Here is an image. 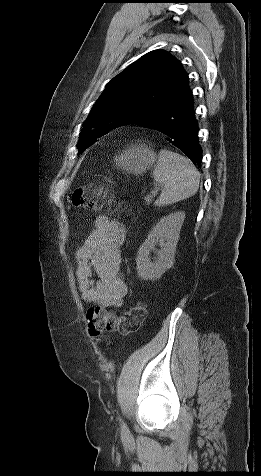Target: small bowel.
<instances>
[{
  "mask_svg": "<svg viewBox=\"0 0 261 476\" xmlns=\"http://www.w3.org/2000/svg\"><path fill=\"white\" fill-rule=\"evenodd\" d=\"M125 228L98 216L76 252V276L82 299L102 308L122 306L127 285L121 271L120 248Z\"/></svg>",
  "mask_w": 261,
  "mask_h": 476,
  "instance_id": "1",
  "label": "small bowel"
}]
</instances>
